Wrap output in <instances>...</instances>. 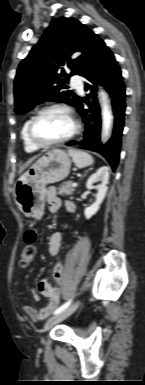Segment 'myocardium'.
<instances>
[{
  "label": "myocardium",
  "mask_w": 145,
  "mask_h": 385,
  "mask_svg": "<svg viewBox=\"0 0 145 385\" xmlns=\"http://www.w3.org/2000/svg\"><path fill=\"white\" fill-rule=\"evenodd\" d=\"M54 110L61 111V112L65 113L70 118V120L73 123V130L70 132V134H68L66 137H64L62 139H59V140H56L53 142H49V143L40 142L34 136L35 123L41 115H43L46 112L54 111ZM80 129H81L80 122H79L77 116L75 115L74 111L70 107H68L67 105H64V104H52V105L43 107L35 115H33L31 117L29 124H28V127H27V137H28L29 142L35 148L47 149V148L55 147V146H58V145H61V144H64V143L70 141L76 135H78V133L80 132Z\"/></svg>",
  "instance_id": "obj_1"
}]
</instances>
